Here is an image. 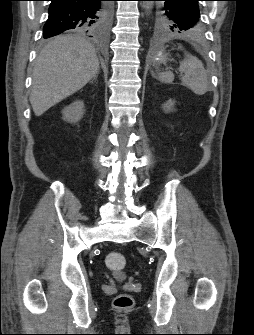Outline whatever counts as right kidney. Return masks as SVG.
<instances>
[{"mask_svg": "<svg viewBox=\"0 0 254 335\" xmlns=\"http://www.w3.org/2000/svg\"><path fill=\"white\" fill-rule=\"evenodd\" d=\"M84 114V103L76 100L62 110L63 119L70 123H76L81 120Z\"/></svg>", "mask_w": 254, "mask_h": 335, "instance_id": "right-kidney-1", "label": "right kidney"}]
</instances>
